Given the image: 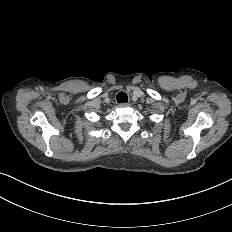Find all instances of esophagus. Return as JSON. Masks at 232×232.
Returning a JSON list of instances; mask_svg holds the SVG:
<instances>
[{"label":"esophagus","instance_id":"obj_1","mask_svg":"<svg viewBox=\"0 0 232 232\" xmlns=\"http://www.w3.org/2000/svg\"><path fill=\"white\" fill-rule=\"evenodd\" d=\"M119 107H121V108H128V107H130V104L129 103H120Z\"/></svg>","mask_w":232,"mask_h":232}]
</instances>
